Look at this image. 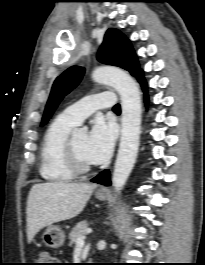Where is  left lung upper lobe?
Masks as SVG:
<instances>
[{"mask_svg": "<svg viewBox=\"0 0 205 265\" xmlns=\"http://www.w3.org/2000/svg\"><path fill=\"white\" fill-rule=\"evenodd\" d=\"M97 57L100 62L121 67L129 71L136 78L142 71L129 40L117 29L110 28L106 32ZM84 72L85 69L83 67L72 66L55 80L41 126L45 125L50 119L63 97L79 84Z\"/></svg>", "mask_w": 205, "mask_h": 265, "instance_id": "5c2ea615", "label": "left lung upper lobe"}]
</instances>
